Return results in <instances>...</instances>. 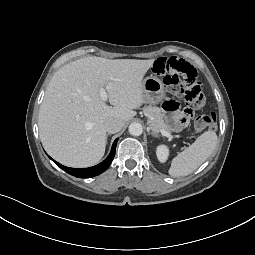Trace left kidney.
Instances as JSON below:
<instances>
[{"label": "left kidney", "mask_w": 255, "mask_h": 255, "mask_svg": "<svg viewBox=\"0 0 255 255\" xmlns=\"http://www.w3.org/2000/svg\"><path fill=\"white\" fill-rule=\"evenodd\" d=\"M156 155L160 162L164 163L169 155V149L165 145H159L156 149Z\"/></svg>", "instance_id": "1"}]
</instances>
